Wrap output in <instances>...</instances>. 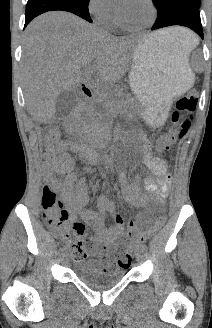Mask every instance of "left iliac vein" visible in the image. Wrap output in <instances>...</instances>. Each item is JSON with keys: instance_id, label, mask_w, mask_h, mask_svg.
Instances as JSON below:
<instances>
[{"instance_id": "obj_1", "label": "left iliac vein", "mask_w": 212, "mask_h": 328, "mask_svg": "<svg viewBox=\"0 0 212 328\" xmlns=\"http://www.w3.org/2000/svg\"><path fill=\"white\" fill-rule=\"evenodd\" d=\"M143 257H144V251L142 250V248L137 249V250L135 251V258H136V261H137L138 263L142 262Z\"/></svg>"}]
</instances>
